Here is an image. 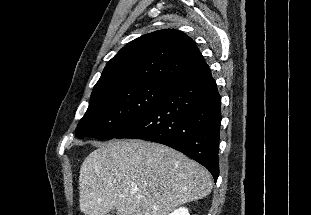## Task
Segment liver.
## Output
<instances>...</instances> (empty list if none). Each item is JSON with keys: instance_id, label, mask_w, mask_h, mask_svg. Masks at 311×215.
<instances>
[{"instance_id": "6515ba94", "label": "liver", "mask_w": 311, "mask_h": 215, "mask_svg": "<svg viewBox=\"0 0 311 215\" xmlns=\"http://www.w3.org/2000/svg\"><path fill=\"white\" fill-rule=\"evenodd\" d=\"M80 211L86 215H167L212 190L210 173L184 154L162 144L114 140L83 161Z\"/></svg>"}]
</instances>
